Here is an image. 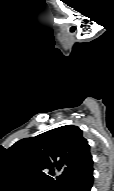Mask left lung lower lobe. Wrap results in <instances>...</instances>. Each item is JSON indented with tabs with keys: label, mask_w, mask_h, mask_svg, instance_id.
<instances>
[{
	"label": "left lung lower lobe",
	"mask_w": 114,
	"mask_h": 191,
	"mask_svg": "<svg viewBox=\"0 0 114 191\" xmlns=\"http://www.w3.org/2000/svg\"><path fill=\"white\" fill-rule=\"evenodd\" d=\"M93 184V161L89 158L60 191H90Z\"/></svg>",
	"instance_id": "0a47b994"
}]
</instances>
